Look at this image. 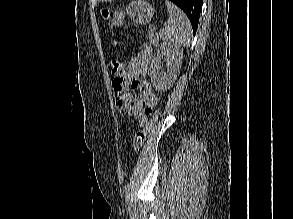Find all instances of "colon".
Returning a JSON list of instances; mask_svg holds the SVG:
<instances>
[{
	"mask_svg": "<svg viewBox=\"0 0 293 219\" xmlns=\"http://www.w3.org/2000/svg\"><path fill=\"white\" fill-rule=\"evenodd\" d=\"M109 15H110V13L108 10H102V16L105 19H108ZM108 66H109L110 73L114 76L113 84H114L115 88L120 89V87H121L120 77L122 74L121 63L115 59H111L108 62ZM149 111L151 114V119H150L149 123L145 127H143L141 130H139L134 136L133 148L135 150H138L142 147L147 135L150 133V131L152 130L154 124L156 123V121L158 119V115H159L158 110L150 109Z\"/></svg>",
	"mask_w": 293,
	"mask_h": 219,
	"instance_id": "obj_1",
	"label": "colon"
}]
</instances>
